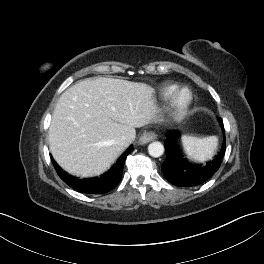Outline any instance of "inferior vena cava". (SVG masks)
Listing matches in <instances>:
<instances>
[{
    "mask_svg": "<svg viewBox=\"0 0 264 264\" xmlns=\"http://www.w3.org/2000/svg\"><path fill=\"white\" fill-rule=\"evenodd\" d=\"M116 142L118 145L123 146V147H127L130 144L129 139L126 136H120L116 139Z\"/></svg>",
    "mask_w": 264,
    "mask_h": 264,
    "instance_id": "inferior-vena-cava-1",
    "label": "inferior vena cava"
}]
</instances>
